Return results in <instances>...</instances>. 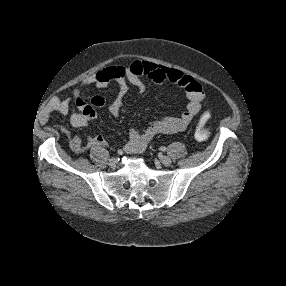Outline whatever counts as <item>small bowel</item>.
<instances>
[{
    "instance_id": "obj_1",
    "label": "small bowel",
    "mask_w": 286,
    "mask_h": 286,
    "mask_svg": "<svg viewBox=\"0 0 286 286\" xmlns=\"http://www.w3.org/2000/svg\"><path fill=\"white\" fill-rule=\"evenodd\" d=\"M143 77H148L155 83H172L184 89L187 97L185 110L179 116H164L152 121L143 131L132 129L124 146V151L129 154L140 153L145 150L149 142L159 134H173L183 131L191 121L200 114L201 102L204 98L202 86L192 77L177 69L158 67L150 62L135 61L130 65H116L88 76L80 86L72 92L71 99H54L49 106V113L60 115L71 114V125L84 127L97 118L96 108L103 107L105 100L96 95L91 99V104L86 103L80 96L81 90L87 85L104 88L109 83L118 85V93L108 106V112L116 117L120 114L123 100L129 90V84L139 91L146 88ZM66 135L67 144L72 152L81 154L87 147L106 145L105 138L100 134L81 138L72 136L67 130L61 128Z\"/></svg>"
}]
</instances>
